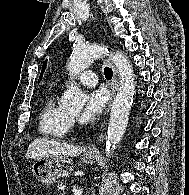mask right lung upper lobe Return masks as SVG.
Masks as SVG:
<instances>
[{"instance_id": "cb5924a9", "label": "right lung upper lobe", "mask_w": 189, "mask_h": 195, "mask_svg": "<svg viewBox=\"0 0 189 195\" xmlns=\"http://www.w3.org/2000/svg\"><path fill=\"white\" fill-rule=\"evenodd\" d=\"M45 68H46V61H45V63L43 64V68H42V71H41V77H42V75H43V72H44Z\"/></svg>"}]
</instances>
